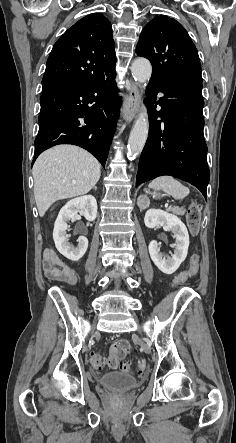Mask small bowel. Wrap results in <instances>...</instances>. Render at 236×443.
Instances as JSON below:
<instances>
[{"label":"small bowel","mask_w":236,"mask_h":443,"mask_svg":"<svg viewBox=\"0 0 236 443\" xmlns=\"http://www.w3.org/2000/svg\"><path fill=\"white\" fill-rule=\"evenodd\" d=\"M44 271L52 281L72 284L76 279L74 269L53 249L44 252Z\"/></svg>","instance_id":"1"}]
</instances>
